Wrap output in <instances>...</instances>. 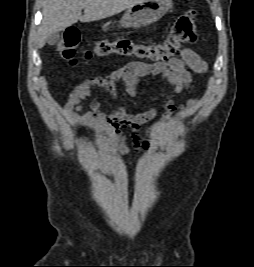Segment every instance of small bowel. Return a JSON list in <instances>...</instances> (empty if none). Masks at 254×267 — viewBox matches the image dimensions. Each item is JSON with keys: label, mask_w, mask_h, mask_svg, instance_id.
Listing matches in <instances>:
<instances>
[{"label": "small bowel", "mask_w": 254, "mask_h": 267, "mask_svg": "<svg viewBox=\"0 0 254 267\" xmlns=\"http://www.w3.org/2000/svg\"><path fill=\"white\" fill-rule=\"evenodd\" d=\"M203 74L207 71V63L191 49H184L179 57L172 58L167 62L144 63L129 62L125 66L112 71L105 77H91L77 84L71 91L64 110L73 126L86 127L96 131L92 142L94 151H102L112 157L124 156L130 149L121 129L130 126L133 129L135 142L144 149L149 148V141H140V127L154 119L157 110L152 107L138 114L128 113L126 107L118 103V81H123L126 93L137 98V85L140 80L149 76L159 75L175 93H182L193 89V80L190 71ZM102 88L107 91L116 102L114 111L107 114L102 111L101 104L92 98V91ZM90 99V110L82 111V102ZM197 99H191L184 104L176 105L170 95L163 99L162 120L167 121L172 114L183 118L190 115L196 108Z\"/></svg>", "instance_id": "small-bowel-1"}]
</instances>
